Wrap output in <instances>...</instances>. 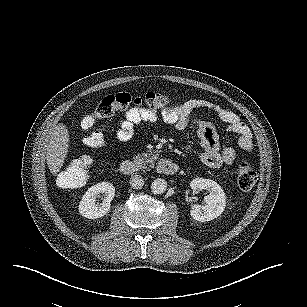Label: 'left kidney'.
<instances>
[{
	"mask_svg": "<svg viewBox=\"0 0 307 307\" xmlns=\"http://www.w3.org/2000/svg\"><path fill=\"white\" fill-rule=\"evenodd\" d=\"M193 191L206 190L209 194L204 197V205L191 206L190 215L200 222L211 221L222 214L226 206V196L221 186L211 180L195 178L190 182Z\"/></svg>",
	"mask_w": 307,
	"mask_h": 307,
	"instance_id": "obj_1",
	"label": "left kidney"
}]
</instances>
